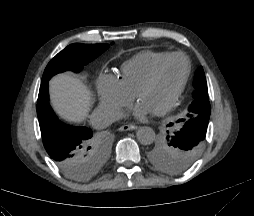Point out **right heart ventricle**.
<instances>
[{
  "label": "right heart ventricle",
  "instance_id": "right-heart-ventricle-1",
  "mask_svg": "<svg viewBox=\"0 0 254 216\" xmlns=\"http://www.w3.org/2000/svg\"><path fill=\"white\" fill-rule=\"evenodd\" d=\"M169 53L144 50L124 62L121 66L120 85L130 94H135L145 82L155 65Z\"/></svg>",
  "mask_w": 254,
  "mask_h": 216
}]
</instances>
